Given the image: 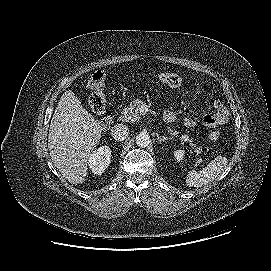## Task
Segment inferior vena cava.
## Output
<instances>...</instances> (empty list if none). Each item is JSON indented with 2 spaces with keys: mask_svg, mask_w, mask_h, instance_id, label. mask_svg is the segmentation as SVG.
<instances>
[{
  "mask_svg": "<svg viewBox=\"0 0 271 271\" xmlns=\"http://www.w3.org/2000/svg\"><path fill=\"white\" fill-rule=\"evenodd\" d=\"M111 134L116 141H122L128 137L129 129L124 124H116L112 127Z\"/></svg>",
  "mask_w": 271,
  "mask_h": 271,
  "instance_id": "1",
  "label": "inferior vena cava"
}]
</instances>
